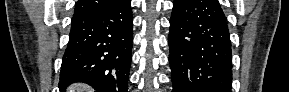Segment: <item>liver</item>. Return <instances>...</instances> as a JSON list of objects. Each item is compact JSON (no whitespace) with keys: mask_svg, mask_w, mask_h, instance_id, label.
I'll use <instances>...</instances> for the list:
<instances>
[{"mask_svg":"<svg viewBox=\"0 0 289 92\" xmlns=\"http://www.w3.org/2000/svg\"><path fill=\"white\" fill-rule=\"evenodd\" d=\"M69 92H91L92 88L82 83H76L68 88Z\"/></svg>","mask_w":289,"mask_h":92,"instance_id":"obj_1","label":"liver"}]
</instances>
